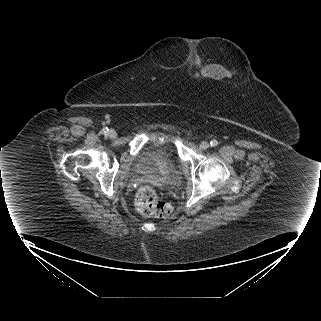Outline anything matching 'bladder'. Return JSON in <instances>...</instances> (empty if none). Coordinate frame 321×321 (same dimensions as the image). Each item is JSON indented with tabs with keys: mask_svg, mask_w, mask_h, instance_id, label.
<instances>
[{
	"mask_svg": "<svg viewBox=\"0 0 321 321\" xmlns=\"http://www.w3.org/2000/svg\"><path fill=\"white\" fill-rule=\"evenodd\" d=\"M176 162L172 148L166 144L149 146L137 162V171L154 179H167L173 174Z\"/></svg>",
	"mask_w": 321,
	"mask_h": 321,
	"instance_id": "bladder-1",
	"label": "bladder"
}]
</instances>
